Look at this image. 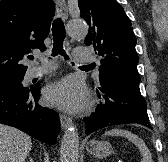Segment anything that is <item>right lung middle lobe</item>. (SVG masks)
I'll return each mask as SVG.
<instances>
[{"instance_id":"1","label":"right lung middle lobe","mask_w":168,"mask_h":162,"mask_svg":"<svg viewBox=\"0 0 168 162\" xmlns=\"http://www.w3.org/2000/svg\"><path fill=\"white\" fill-rule=\"evenodd\" d=\"M24 74L25 73H18L0 76V88L12 84H20L23 80Z\"/></svg>"}]
</instances>
